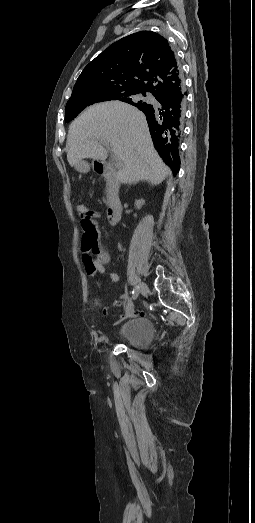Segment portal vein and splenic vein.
<instances>
[{
	"instance_id": "portal-vein-and-splenic-vein-1",
	"label": "portal vein and splenic vein",
	"mask_w": 255,
	"mask_h": 523,
	"mask_svg": "<svg viewBox=\"0 0 255 523\" xmlns=\"http://www.w3.org/2000/svg\"><path fill=\"white\" fill-rule=\"evenodd\" d=\"M114 156H115V154H114ZM114 160H115V162H116V163L114 164V170H115L116 172H119V171L121 170V160H120V158H117V156H115Z\"/></svg>"
}]
</instances>
